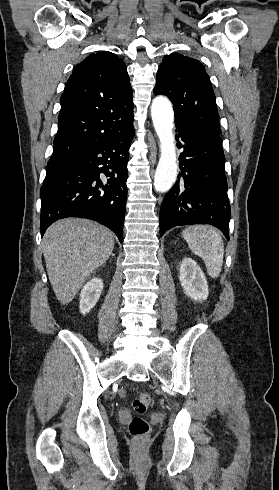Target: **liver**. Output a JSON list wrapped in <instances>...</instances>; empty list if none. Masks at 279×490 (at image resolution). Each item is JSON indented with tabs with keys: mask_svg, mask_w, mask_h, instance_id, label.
Returning <instances> with one entry per match:
<instances>
[{
	"mask_svg": "<svg viewBox=\"0 0 279 490\" xmlns=\"http://www.w3.org/2000/svg\"><path fill=\"white\" fill-rule=\"evenodd\" d=\"M43 254L49 282L62 306L69 304L114 248V234L92 220L66 218L46 230Z\"/></svg>",
	"mask_w": 279,
	"mask_h": 490,
	"instance_id": "liver-1",
	"label": "liver"
}]
</instances>
